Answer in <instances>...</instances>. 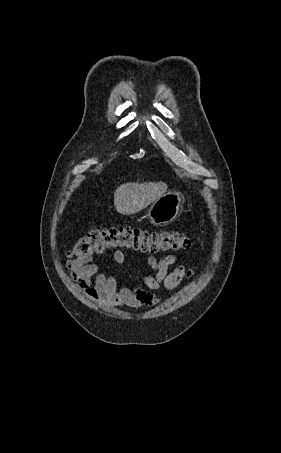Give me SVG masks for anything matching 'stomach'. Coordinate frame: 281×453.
I'll use <instances>...</instances> for the list:
<instances>
[{
    "label": "stomach",
    "mask_w": 281,
    "mask_h": 453,
    "mask_svg": "<svg viewBox=\"0 0 281 453\" xmlns=\"http://www.w3.org/2000/svg\"><path fill=\"white\" fill-rule=\"evenodd\" d=\"M183 196L179 190H168L156 198L147 210V216L156 227H166L181 212Z\"/></svg>",
    "instance_id": "obj_1"
}]
</instances>
